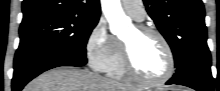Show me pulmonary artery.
<instances>
[{
  "label": "pulmonary artery",
  "mask_w": 220,
  "mask_h": 91,
  "mask_svg": "<svg viewBox=\"0 0 220 91\" xmlns=\"http://www.w3.org/2000/svg\"><path fill=\"white\" fill-rule=\"evenodd\" d=\"M122 6H123V9L125 10V12L127 14H129L135 21L140 22V21L144 20V18L146 16V12L143 7L142 1H140V0H133V1L123 0Z\"/></svg>",
  "instance_id": "obj_1"
}]
</instances>
